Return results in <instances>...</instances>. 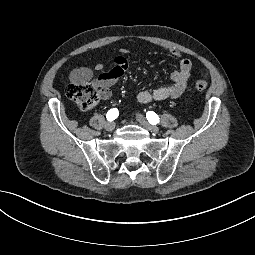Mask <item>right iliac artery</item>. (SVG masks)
<instances>
[{
  "mask_svg": "<svg viewBox=\"0 0 255 255\" xmlns=\"http://www.w3.org/2000/svg\"><path fill=\"white\" fill-rule=\"evenodd\" d=\"M118 115H119L118 109H117V108H112V109H110V110L107 112L106 118H107V120H109V121H113V120H115V119L118 117Z\"/></svg>",
  "mask_w": 255,
  "mask_h": 255,
  "instance_id": "1",
  "label": "right iliac artery"
}]
</instances>
